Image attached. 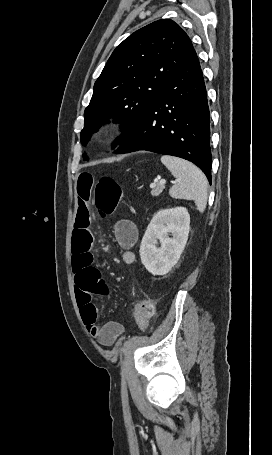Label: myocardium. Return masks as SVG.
I'll list each match as a JSON object with an SVG mask.
<instances>
[{
	"instance_id": "1",
	"label": "myocardium",
	"mask_w": 272,
	"mask_h": 455,
	"mask_svg": "<svg viewBox=\"0 0 272 455\" xmlns=\"http://www.w3.org/2000/svg\"><path fill=\"white\" fill-rule=\"evenodd\" d=\"M115 131H116V128L114 125L107 124L98 130L97 135L100 138L105 139V138L111 137L115 133Z\"/></svg>"
}]
</instances>
